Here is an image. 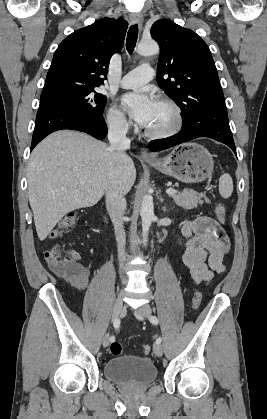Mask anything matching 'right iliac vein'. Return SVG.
Instances as JSON below:
<instances>
[{
  "label": "right iliac vein",
  "mask_w": 267,
  "mask_h": 419,
  "mask_svg": "<svg viewBox=\"0 0 267 419\" xmlns=\"http://www.w3.org/2000/svg\"><path fill=\"white\" fill-rule=\"evenodd\" d=\"M123 308V300H122V296L119 295L117 297V299L114 302V306H113V310H112V321H114L115 319H117L122 311ZM110 342V337L109 334H106L103 338V346L107 347L109 345Z\"/></svg>",
  "instance_id": "obj_1"
}]
</instances>
